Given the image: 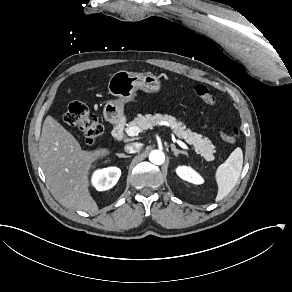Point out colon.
Masks as SVG:
<instances>
[{"instance_id": "obj_1", "label": "colon", "mask_w": 292, "mask_h": 292, "mask_svg": "<svg viewBox=\"0 0 292 292\" xmlns=\"http://www.w3.org/2000/svg\"><path fill=\"white\" fill-rule=\"evenodd\" d=\"M194 92L207 105H214L216 97L212 91L203 84L194 87ZM65 121L77 126L84 132L89 145L96 144L104 133V127L99 120L89 111L82 101H72L67 105L64 113ZM222 138L226 142H236L240 138L239 129L235 126L228 127L221 132Z\"/></svg>"}]
</instances>
